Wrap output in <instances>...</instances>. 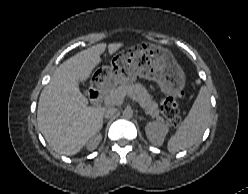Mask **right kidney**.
Returning <instances> with one entry per match:
<instances>
[{
  "instance_id": "obj_1",
  "label": "right kidney",
  "mask_w": 248,
  "mask_h": 194,
  "mask_svg": "<svg viewBox=\"0 0 248 194\" xmlns=\"http://www.w3.org/2000/svg\"><path fill=\"white\" fill-rule=\"evenodd\" d=\"M102 139V136L99 134V135H96V137H94V139L91 141V147L94 148L95 146H97L100 141Z\"/></svg>"
}]
</instances>
